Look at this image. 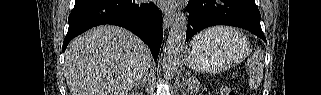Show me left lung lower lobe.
<instances>
[{"label":"left lung lower lobe","instance_id":"left-lung-lower-lobe-1","mask_svg":"<svg viewBox=\"0 0 321 95\" xmlns=\"http://www.w3.org/2000/svg\"><path fill=\"white\" fill-rule=\"evenodd\" d=\"M186 41L204 28L229 25L246 29L266 42L254 0H189Z\"/></svg>","mask_w":321,"mask_h":95}]
</instances>
